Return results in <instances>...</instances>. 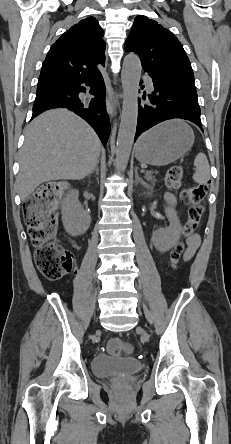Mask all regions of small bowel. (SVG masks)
<instances>
[{"instance_id": "obj_1", "label": "small bowel", "mask_w": 231, "mask_h": 444, "mask_svg": "<svg viewBox=\"0 0 231 444\" xmlns=\"http://www.w3.org/2000/svg\"><path fill=\"white\" fill-rule=\"evenodd\" d=\"M166 199L170 203H174L175 201V198L172 194H167ZM199 244H200V238L198 235H194L188 239V248L184 255L186 260H189L193 256V254L199 247Z\"/></svg>"}]
</instances>
